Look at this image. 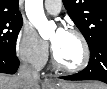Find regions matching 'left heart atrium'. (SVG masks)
<instances>
[{
	"label": "left heart atrium",
	"mask_w": 107,
	"mask_h": 89,
	"mask_svg": "<svg viewBox=\"0 0 107 89\" xmlns=\"http://www.w3.org/2000/svg\"><path fill=\"white\" fill-rule=\"evenodd\" d=\"M65 31L63 29H58L57 30V33H58V36H60L61 34H63ZM52 45L54 46L55 45V42L52 43Z\"/></svg>",
	"instance_id": "39dd6f15"
}]
</instances>
